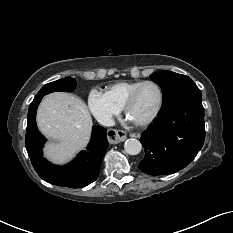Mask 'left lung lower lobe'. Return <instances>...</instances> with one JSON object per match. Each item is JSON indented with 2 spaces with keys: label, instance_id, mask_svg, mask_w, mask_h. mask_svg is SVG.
<instances>
[{
  "label": "left lung lower lobe",
  "instance_id": "left-lung-lower-lobe-1",
  "mask_svg": "<svg viewBox=\"0 0 233 233\" xmlns=\"http://www.w3.org/2000/svg\"><path fill=\"white\" fill-rule=\"evenodd\" d=\"M202 96L182 98L161 108L158 118L140 139L145 157L139 169L149 175H166L186 167L204 144Z\"/></svg>",
  "mask_w": 233,
  "mask_h": 233
}]
</instances>
